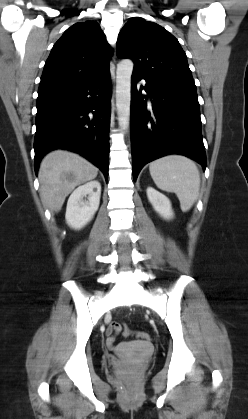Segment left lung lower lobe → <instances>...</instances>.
<instances>
[{
	"mask_svg": "<svg viewBox=\"0 0 248 419\" xmlns=\"http://www.w3.org/2000/svg\"><path fill=\"white\" fill-rule=\"evenodd\" d=\"M141 79L146 84L138 89ZM143 89L147 95H142ZM130 128L134 181L145 164L168 154L185 155L206 168L196 91L133 72Z\"/></svg>",
	"mask_w": 248,
	"mask_h": 419,
	"instance_id": "0a47b994",
	"label": "left lung lower lobe"
}]
</instances>
